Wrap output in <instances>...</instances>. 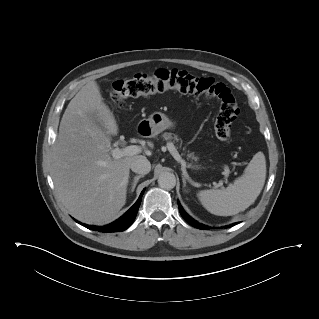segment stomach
Instances as JSON below:
<instances>
[{"mask_svg":"<svg viewBox=\"0 0 319 319\" xmlns=\"http://www.w3.org/2000/svg\"><path fill=\"white\" fill-rule=\"evenodd\" d=\"M152 135H157L166 129L174 127V123L163 113L154 112L147 120Z\"/></svg>","mask_w":319,"mask_h":319,"instance_id":"1","label":"stomach"}]
</instances>
